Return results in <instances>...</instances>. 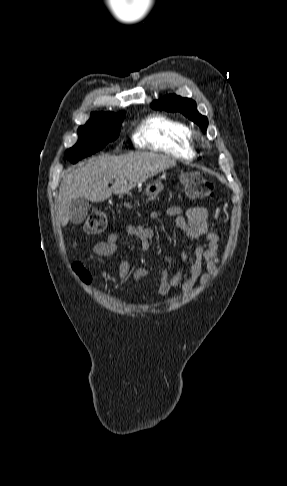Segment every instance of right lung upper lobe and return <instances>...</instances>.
Instances as JSON below:
<instances>
[{
  "mask_svg": "<svg viewBox=\"0 0 287 486\" xmlns=\"http://www.w3.org/2000/svg\"><path fill=\"white\" fill-rule=\"evenodd\" d=\"M107 114H115V113L107 112ZM120 114H124V113H120ZM120 114H115V115H120Z\"/></svg>",
  "mask_w": 287,
  "mask_h": 486,
  "instance_id": "obj_1",
  "label": "right lung upper lobe"
}]
</instances>
